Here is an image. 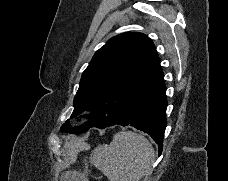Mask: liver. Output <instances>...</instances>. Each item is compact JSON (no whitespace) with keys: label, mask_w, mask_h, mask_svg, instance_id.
Instances as JSON below:
<instances>
[{"label":"liver","mask_w":228,"mask_h":181,"mask_svg":"<svg viewBox=\"0 0 228 181\" xmlns=\"http://www.w3.org/2000/svg\"><path fill=\"white\" fill-rule=\"evenodd\" d=\"M64 149L69 153V155H73L74 151H87V149H90V145L84 143V139H78V137H67Z\"/></svg>","instance_id":"6515ba94"}]
</instances>
